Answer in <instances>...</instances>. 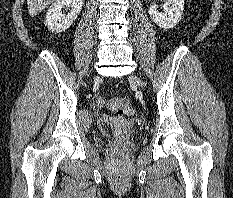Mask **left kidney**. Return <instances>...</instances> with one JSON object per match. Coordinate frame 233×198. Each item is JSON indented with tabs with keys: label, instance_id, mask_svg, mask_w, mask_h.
Returning a JSON list of instances; mask_svg holds the SVG:
<instances>
[{
	"label": "left kidney",
	"instance_id": "left-kidney-1",
	"mask_svg": "<svg viewBox=\"0 0 233 198\" xmlns=\"http://www.w3.org/2000/svg\"><path fill=\"white\" fill-rule=\"evenodd\" d=\"M184 9V0H166L164 13L159 12L154 5H150L151 19L161 28L170 29L178 24Z\"/></svg>",
	"mask_w": 233,
	"mask_h": 198
}]
</instances>
